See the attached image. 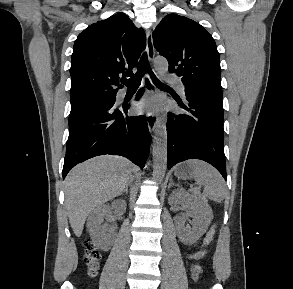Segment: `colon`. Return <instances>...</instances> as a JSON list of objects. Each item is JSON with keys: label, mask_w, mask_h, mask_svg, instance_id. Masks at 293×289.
<instances>
[{"label": "colon", "mask_w": 293, "mask_h": 289, "mask_svg": "<svg viewBox=\"0 0 293 289\" xmlns=\"http://www.w3.org/2000/svg\"><path fill=\"white\" fill-rule=\"evenodd\" d=\"M215 232H216V226L214 225L208 230L207 234L204 237V240H203L204 247L208 246L212 242ZM84 246H85L84 261L87 266L88 274L90 276H94L99 267L101 254L99 250L89 241H86ZM201 272H202L201 267L197 263L192 265V273L195 279H198Z\"/></svg>", "instance_id": "5ec220e1"}]
</instances>
